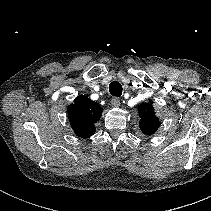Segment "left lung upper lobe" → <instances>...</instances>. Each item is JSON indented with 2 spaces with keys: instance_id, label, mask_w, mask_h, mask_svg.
<instances>
[{
  "instance_id": "1",
  "label": "left lung upper lobe",
  "mask_w": 211,
  "mask_h": 211,
  "mask_svg": "<svg viewBox=\"0 0 211 211\" xmlns=\"http://www.w3.org/2000/svg\"><path fill=\"white\" fill-rule=\"evenodd\" d=\"M152 104L153 101L150 100L149 103H143L139 107V127L146 135L155 133L161 124L159 118L155 116Z\"/></svg>"
}]
</instances>
